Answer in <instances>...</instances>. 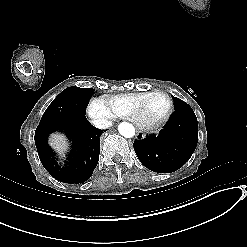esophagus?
Listing matches in <instances>:
<instances>
[{
  "mask_svg": "<svg viewBox=\"0 0 247 247\" xmlns=\"http://www.w3.org/2000/svg\"><path fill=\"white\" fill-rule=\"evenodd\" d=\"M136 138L139 139V140H141V139H144L145 138V135L142 132H137Z\"/></svg>",
  "mask_w": 247,
  "mask_h": 247,
  "instance_id": "obj_1",
  "label": "esophagus"
}]
</instances>
